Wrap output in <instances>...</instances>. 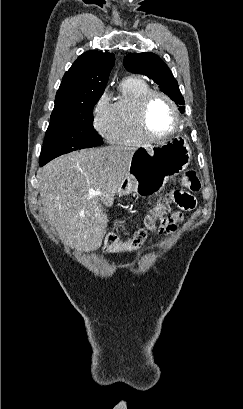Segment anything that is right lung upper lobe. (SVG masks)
<instances>
[{
    "mask_svg": "<svg viewBox=\"0 0 243 409\" xmlns=\"http://www.w3.org/2000/svg\"><path fill=\"white\" fill-rule=\"evenodd\" d=\"M113 53L88 51L78 57L65 73L56 93L55 104L96 102L103 94L111 69Z\"/></svg>",
    "mask_w": 243,
    "mask_h": 409,
    "instance_id": "1",
    "label": "right lung upper lobe"
}]
</instances>
